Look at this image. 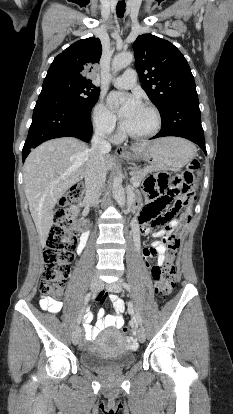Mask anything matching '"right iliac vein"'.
Returning <instances> with one entry per match:
<instances>
[{"instance_id": "1", "label": "right iliac vein", "mask_w": 233, "mask_h": 414, "mask_svg": "<svg viewBox=\"0 0 233 414\" xmlns=\"http://www.w3.org/2000/svg\"><path fill=\"white\" fill-rule=\"evenodd\" d=\"M102 283L100 278L97 275H94L91 279V290L93 292H98L101 289ZM81 337V329L76 326L72 332V342L74 345H77Z\"/></svg>"}]
</instances>
